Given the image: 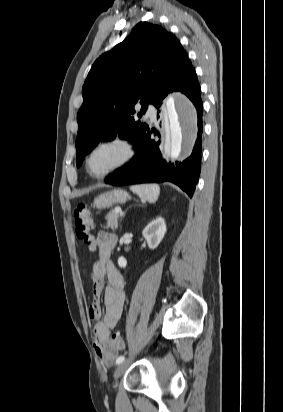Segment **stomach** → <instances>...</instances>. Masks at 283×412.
Listing matches in <instances>:
<instances>
[{
    "instance_id": "0dacf381",
    "label": "stomach",
    "mask_w": 283,
    "mask_h": 412,
    "mask_svg": "<svg viewBox=\"0 0 283 412\" xmlns=\"http://www.w3.org/2000/svg\"><path fill=\"white\" fill-rule=\"evenodd\" d=\"M130 198L129 194L121 189H115L99 195L94 200L98 209H106L116 203H125Z\"/></svg>"
}]
</instances>
